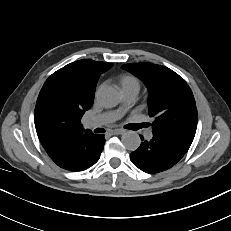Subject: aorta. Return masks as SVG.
<instances>
[{"mask_svg":"<svg viewBox=\"0 0 231 231\" xmlns=\"http://www.w3.org/2000/svg\"><path fill=\"white\" fill-rule=\"evenodd\" d=\"M98 102L106 107H115L120 102L119 91L113 86H104L97 91ZM123 145L130 151H135L141 144V139L137 132L128 131L122 135Z\"/></svg>","mask_w":231,"mask_h":231,"instance_id":"762f6f07","label":"aorta"}]
</instances>
